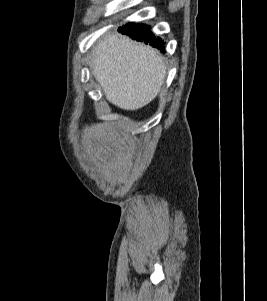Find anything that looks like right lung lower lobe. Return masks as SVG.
<instances>
[{"label": "right lung lower lobe", "instance_id": "98d812e1", "mask_svg": "<svg viewBox=\"0 0 267 301\" xmlns=\"http://www.w3.org/2000/svg\"><path fill=\"white\" fill-rule=\"evenodd\" d=\"M119 31L133 39H136L137 41H143L146 44L149 43L151 46L156 47L161 51L164 49V42L161 38H156L153 36V33L150 32L149 26L144 24L129 23L119 28Z\"/></svg>", "mask_w": 267, "mask_h": 301}]
</instances>
